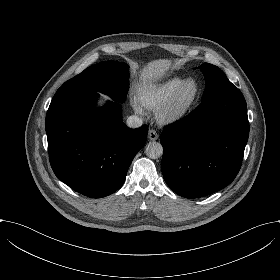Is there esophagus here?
Wrapping results in <instances>:
<instances>
[{
    "label": "esophagus",
    "mask_w": 280,
    "mask_h": 280,
    "mask_svg": "<svg viewBox=\"0 0 280 280\" xmlns=\"http://www.w3.org/2000/svg\"><path fill=\"white\" fill-rule=\"evenodd\" d=\"M148 139L151 141H155L158 139V133L154 129H150L148 131Z\"/></svg>",
    "instance_id": "34e87169"
}]
</instances>
